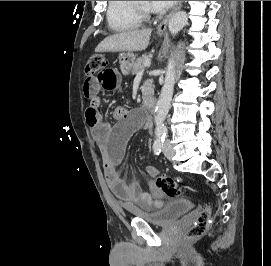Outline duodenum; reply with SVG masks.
Listing matches in <instances>:
<instances>
[{
  "label": "duodenum",
  "instance_id": "410a0bca",
  "mask_svg": "<svg viewBox=\"0 0 271 266\" xmlns=\"http://www.w3.org/2000/svg\"><path fill=\"white\" fill-rule=\"evenodd\" d=\"M144 104L149 108V109H154L156 106V98L152 95H146L144 97Z\"/></svg>",
  "mask_w": 271,
  "mask_h": 266
}]
</instances>
